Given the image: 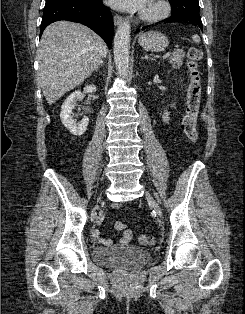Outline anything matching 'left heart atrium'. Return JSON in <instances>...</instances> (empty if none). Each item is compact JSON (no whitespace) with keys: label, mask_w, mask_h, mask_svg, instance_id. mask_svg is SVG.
<instances>
[{"label":"left heart atrium","mask_w":245,"mask_h":314,"mask_svg":"<svg viewBox=\"0 0 245 314\" xmlns=\"http://www.w3.org/2000/svg\"><path fill=\"white\" fill-rule=\"evenodd\" d=\"M109 5L116 9L143 11L148 0H107Z\"/></svg>","instance_id":"1"}]
</instances>
